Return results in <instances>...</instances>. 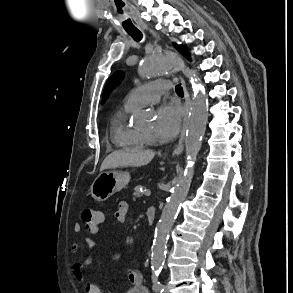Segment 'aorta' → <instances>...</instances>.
Here are the masks:
<instances>
[{
    "label": "aorta",
    "mask_w": 293,
    "mask_h": 293,
    "mask_svg": "<svg viewBox=\"0 0 293 293\" xmlns=\"http://www.w3.org/2000/svg\"><path fill=\"white\" fill-rule=\"evenodd\" d=\"M178 69L183 70L184 74L191 78L194 90L185 137L187 166L183 176L174 186L156 226L151 256V268L154 271L162 268L170 230L180 206L189 192L194 175V164L206 129L208 100L205 90L198 83L195 74L184 66L182 58L173 51L160 50L153 52L143 59L139 70L142 77L153 78Z\"/></svg>",
    "instance_id": "762f6f07"
}]
</instances>
